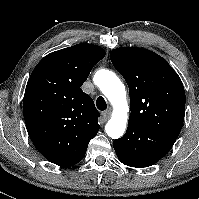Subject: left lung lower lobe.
<instances>
[{
  "instance_id": "1",
  "label": "left lung lower lobe",
  "mask_w": 199,
  "mask_h": 199,
  "mask_svg": "<svg viewBox=\"0 0 199 199\" xmlns=\"http://www.w3.org/2000/svg\"><path fill=\"white\" fill-rule=\"evenodd\" d=\"M174 140L129 121L125 135L113 141L118 159L136 168L158 162L173 146Z\"/></svg>"
}]
</instances>
